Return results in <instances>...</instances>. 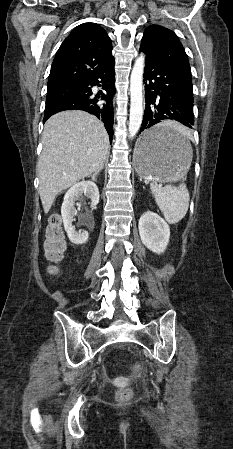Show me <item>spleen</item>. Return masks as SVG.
<instances>
[{
	"label": "spleen",
	"instance_id": "spleen-1",
	"mask_svg": "<svg viewBox=\"0 0 233 449\" xmlns=\"http://www.w3.org/2000/svg\"><path fill=\"white\" fill-rule=\"evenodd\" d=\"M166 124L180 133H184V136H186V131L182 127L170 125L169 122H166ZM150 189L154 194L159 209L162 211L163 216L168 223L176 224L185 217L189 207V194L184 183L180 184L178 187L173 185L161 187L156 183H150Z\"/></svg>",
	"mask_w": 233,
	"mask_h": 449
}]
</instances>
